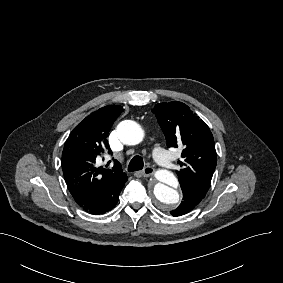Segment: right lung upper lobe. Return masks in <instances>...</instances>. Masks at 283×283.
<instances>
[{"mask_svg":"<svg viewBox=\"0 0 283 283\" xmlns=\"http://www.w3.org/2000/svg\"><path fill=\"white\" fill-rule=\"evenodd\" d=\"M122 111L118 105L100 108L79 123L66 141L62 169L68 189L78 205L101 198L127 177L116 160L112 168L95 167L96 158L109 149L106 138Z\"/></svg>","mask_w":283,"mask_h":283,"instance_id":"right-lung-upper-lobe-1","label":"right lung upper lobe"}]
</instances>
